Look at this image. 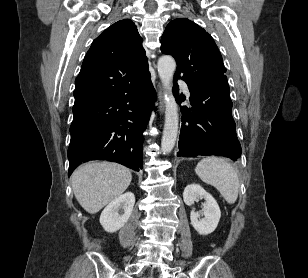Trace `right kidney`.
I'll return each mask as SVG.
<instances>
[{"mask_svg": "<svg viewBox=\"0 0 308 278\" xmlns=\"http://www.w3.org/2000/svg\"><path fill=\"white\" fill-rule=\"evenodd\" d=\"M134 203L135 196L132 192H126L110 202L100 216V224L104 230L113 233L123 227L131 216Z\"/></svg>", "mask_w": 308, "mask_h": 278, "instance_id": "1", "label": "right kidney"}]
</instances>
